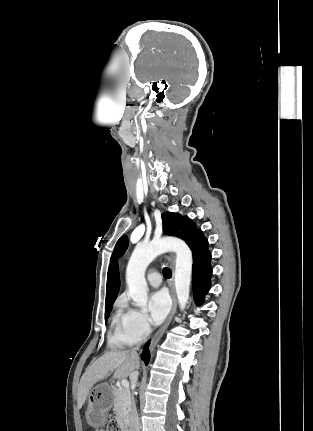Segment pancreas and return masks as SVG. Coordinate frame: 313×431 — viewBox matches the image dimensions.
<instances>
[{
  "label": "pancreas",
  "instance_id": "obj_1",
  "mask_svg": "<svg viewBox=\"0 0 313 431\" xmlns=\"http://www.w3.org/2000/svg\"><path fill=\"white\" fill-rule=\"evenodd\" d=\"M113 411L117 422L122 425L130 409V394L125 388L114 390Z\"/></svg>",
  "mask_w": 313,
  "mask_h": 431
}]
</instances>
